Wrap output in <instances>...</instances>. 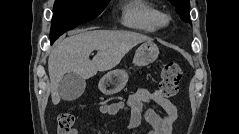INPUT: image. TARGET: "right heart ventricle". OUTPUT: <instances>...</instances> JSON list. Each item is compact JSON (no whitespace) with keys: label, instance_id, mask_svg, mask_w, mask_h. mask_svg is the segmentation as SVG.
Returning <instances> with one entry per match:
<instances>
[{"label":"right heart ventricle","instance_id":"obj_1","mask_svg":"<svg viewBox=\"0 0 239 134\" xmlns=\"http://www.w3.org/2000/svg\"><path fill=\"white\" fill-rule=\"evenodd\" d=\"M158 9L148 1L132 0L122 8V24L128 28L152 33L158 30Z\"/></svg>","mask_w":239,"mask_h":134}]
</instances>
